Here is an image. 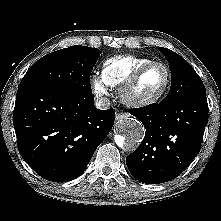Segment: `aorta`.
Instances as JSON below:
<instances>
[{
  "mask_svg": "<svg viewBox=\"0 0 221 221\" xmlns=\"http://www.w3.org/2000/svg\"><path fill=\"white\" fill-rule=\"evenodd\" d=\"M115 135L116 144L126 151H134L145 135V129L141 122L133 118H126L118 122Z\"/></svg>",
  "mask_w": 221,
  "mask_h": 221,
  "instance_id": "obj_1",
  "label": "aorta"
}]
</instances>
